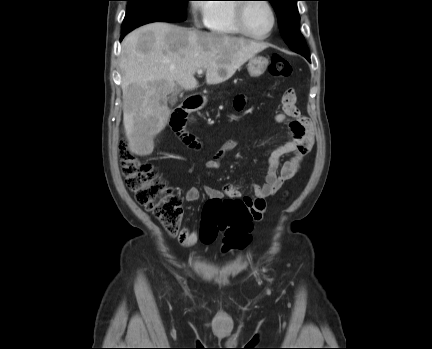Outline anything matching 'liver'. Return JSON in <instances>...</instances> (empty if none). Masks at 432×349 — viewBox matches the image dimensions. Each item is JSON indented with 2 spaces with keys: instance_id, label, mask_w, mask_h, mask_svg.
I'll list each match as a JSON object with an SVG mask.
<instances>
[{
  "instance_id": "6515ba94",
  "label": "liver",
  "mask_w": 432,
  "mask_h": 349,
  "mask_svg": "<svg viewBox=\"0 0 432 349\" xmlns=\"http://www.w3.org/2000/svg\"><path fill=\"white\" fill-rule=\"evenodd\" d=\"M121 46L123 123L130 150L142 156L169 121L167 96L176 86L197 88L200 69L208 85L224 82L269 45L155 22L130 32Z\"/></svg>"
}]
</instances>
